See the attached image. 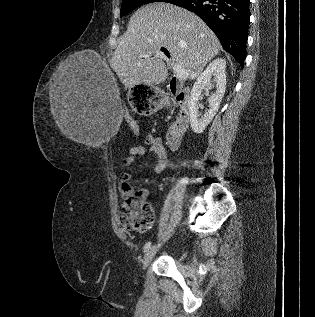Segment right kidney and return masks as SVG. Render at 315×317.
<instances>
[{
  "instance_id": "ca27d5eb",
  "label": "right kidney",
  "mask_w": 315,
  "mask_h": 317,
  "mask_svg": "<svg viewBox=\"0 0 315 317\" xmlns=\"http://www.w3.org/2000/svg\"><path fill=\"white\" fill-rule=\"evenodd\" d=\"M226 61L225 59L218 58L212 61L204 72L196 79L191 95L188 99V109L190 113V124L194 133H202L206 126L211 122L213 117L219 110L220 103L226 89ZM214 80L211 81V78ZM216 85V91L209 96L208 102L210 109L207 113L199 118V99L204 90L209 89L212 85Z\"/></svg>"
}]
</instances>
